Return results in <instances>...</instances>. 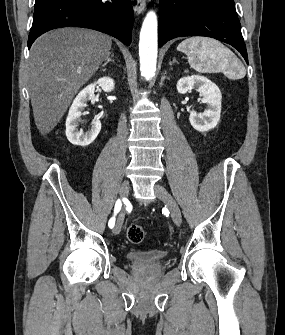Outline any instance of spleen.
<instances>
[{"instance_id":"1","label":"spleen","mask_w":285,"mask_h":335,"mask_svg":"<svg viewBox=\"0 0 285 335\" xmlns=\"http://www.w3.org/2000/svg\"><path fill=\"white\" fill-rule=\"evenodd\" d=\"M177 50L186 54L189 66L200 74L225 70V68H232V70L236 68L240 78H244L246 74L244 66L240 64L235 54L212 38H200V36L188 38L179 44Z\"/></svg>"}]
</instances>
